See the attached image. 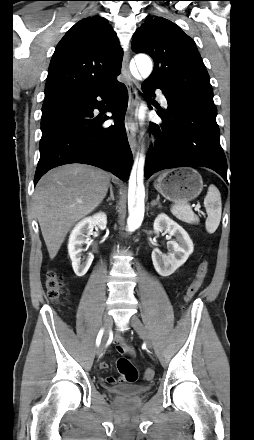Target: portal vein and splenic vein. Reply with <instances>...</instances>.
Masks as SVG:
<instances>
[{
	"label": "portal vein and splenic vein",
	"mask_w": 254,
	"mask_h": 440,
	"mask_svg": "<svg viewBox=\"0 0 254 440\" xmlns=\"http://www.w3.org/2000/svg\"><path fill=\"white\" fill-rule=\"evenodd\" d=\"M195 211H196V212H200V206H199V205H196V206H195Z\"/></svg>",
	"instance_id": "obj_1"
}]
</instances>
